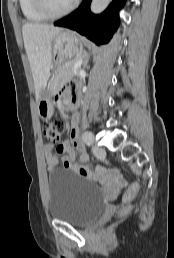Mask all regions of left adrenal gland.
<instances>
[{"instance_id":"obj_1","label":"left adrenal gland","mask_w":174,"mask_h":258,"mask_svg":"<svg viewBox=\"0 0 174 258\" xmlns=\"http://www.w3.org/2000/svg\"><path fill=\"white\" fill-rule=\"evenodd\" d=\"M82 58H83V65L84 66H86L87 65V63H88V60H89V55L88 54H86V53H84L83 55H82Z\"/></svg>"}]
</instances>
